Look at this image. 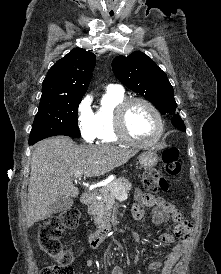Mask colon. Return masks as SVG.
Segmentation results:
<instances>
[{
    "label": "colon",
    "mask_w": 221,
    "mask_h": 274,
    "mask_svg": "<svg viewBox=\"0 0 221 274\" xmlns=\"http://www.w3.org/2000/svg\"><path fill=\"white\" fill-rule=\"evenodd\" d=\"M162 161L167 174L175 176L180 173L179 150L176 147H167L162 152ZM144 185L152 193L166 192L168 190L166 179L154 171H149L145 174ZM79 219V209L70 207L41 225L38 232L40 248L57 263L44 267L40 274H74L71 267L74 260L73 254L63 248L60 242V235L66 229L75 228Z\"/></svg>",
    "instance_id": "1"
}]
</instances>
